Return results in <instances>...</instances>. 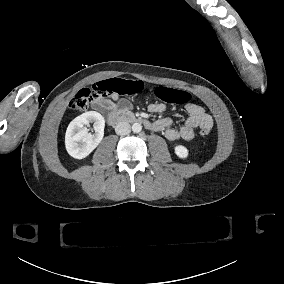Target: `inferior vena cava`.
I'll return each instance as SVG.
<instances>
[{
    "instance_id": "1",
    "label": "inferior vena cava",
    "mask_w": 284,
    "mask_h": 284,
    "mask_svg": "<svg viewBox=\"0 0 284 284\" xmlns=\"http://www.w3.org/2000/svg\"><path fill=\"white\" fill-rule=\"evenodd\" d=\"M115 132L118 135H127L131 132V126L127 122H121L116 125Z\"/></svg>"
}]
</instances>
